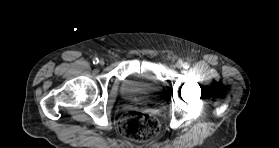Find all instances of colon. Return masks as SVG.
Returning a JSON list of instances; mask_svg holds the SVG:
<instances>
[{"label":"colon","instance_id":"obj_1","mask_svg":"<svg viewBox=\"0 0 279 148\" xmlns=\"http://www.w3.org/2000/svg\"><path fill=\"white\" fill-rule=\"evenodd\" d=\"M119 131L135 142H145L157 135L160 124L157 118L139 110H129L119 120Z\"/></svg>","mask_w":279,"mask_h":148}]
</instances>
